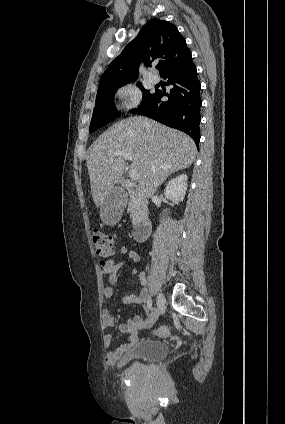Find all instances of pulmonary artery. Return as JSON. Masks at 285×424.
<instances>
[{
  "instance_id": "e3ab8cb5",
  "label": "pulmonary artery",
  "mask_w": 285,
  "mask_h": 424,
  "mask_svg": "<svg viewBox=\"0 0 285 424\" xmlns=\"http://www.w3.org/2000/svg\"><path fill=\"white\" fill-rule=\"evenodd\" d=\"M150 80L153 84H156L159 82V77L155 74L151 75Z\"/></svg>"
}]
</instances>
